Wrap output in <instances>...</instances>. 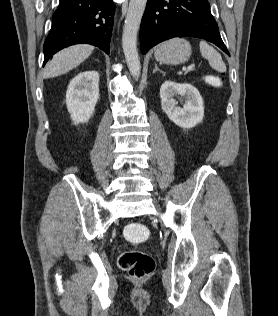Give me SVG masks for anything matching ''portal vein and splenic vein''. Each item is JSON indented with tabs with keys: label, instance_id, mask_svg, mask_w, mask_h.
Returning <instances> with one entry per match:
<instances>
[{
	"label": "portal vein and splenic vein",
	"instance_id": "obj_1",
	"mask_svg": "<svg viewBox=\"0 0 278 316\" xmlns=\"http://www.w3.org/2000/svg\"><path fill=\"white\" fill-rule=\"evenodd\" d=\"M194 67H195V64H191L187 68H185L184 71L186 72L192 71Z\"/></svg>",
	"mask_w": 278,
	"mask_h": 316
}]
</instances>
